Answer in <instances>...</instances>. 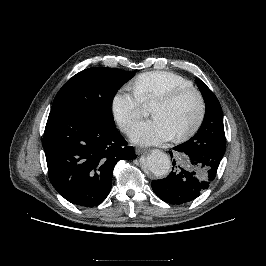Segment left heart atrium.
<instances>
[{"instance_id":"1","label":"left heart atrium","mask_w":266,"mask_h":266,"mask_svg":"<svg viewBox=\"0 0 266 266\" xmlns=\"http://www.w3.org/2000/svg\"><path fill=\"white\" fill-rule=\"evenodd\" d=\"M175 133L162 118L136 124L130 131L132 142L141 145H159L172 140Z\"/></svg>"}]
</instances>
